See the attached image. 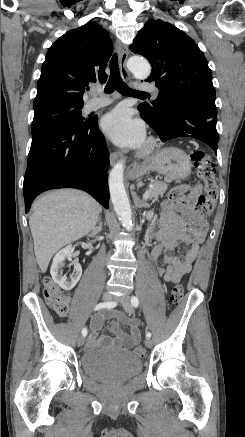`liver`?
<instances>
[{"instance_id":"obj_1","label":"liver","mask_w":245,"mask_h":437,"mask_svg":"<svg viewBox=\"0 0 245 437\" xmlns=\"http://www.w3.org/2000/svg\"><path fill=\"white\" fill-rule=\"evenodd\" d=\"M101 210L95 199L73 189L52 191L34 202L29 225L41 272L60 248L95 228Z\"/></svg>"}]
</instances>
